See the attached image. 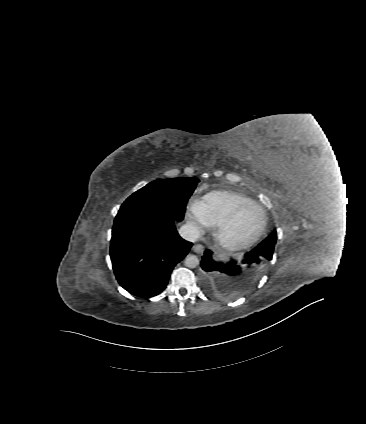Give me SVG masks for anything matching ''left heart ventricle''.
<instances>
[{
  "label": "left heart ventricle",
  "instance_id": "obj_1",
  "mask_svg": "<svg viewBox=\"0 0 366 424\" xmlns=\"http://www.w3.org/2000/svg\"><path fill=\"white\" fill-rule=\"evenodd\" d=\"M261 224V215L256 208L245 210L236 223L230 228L227 237L230 240H246L251 238L259 229Z\"/></svg>",
  "mask_w": 366,
  "mask_h": 424
}]
</instances>
